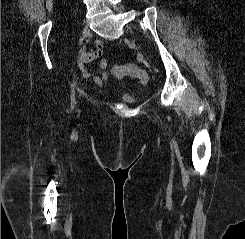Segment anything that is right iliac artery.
I'll use <instances>...</instances> for the list:
<instances>
[{"label":"right iliac artery","instance_id":"82829eb1","mask_svg":"<svg viewBox=\"0 0 245 239\" xmlns=\"http://www.w3.org/2000/svg\"><path fill=\"white\" fill-rule=\"evenodd\" d=\"M84 42V39L83 38H80L79 39V45H82ZM75 87H76V82L73 81V83L71 84V95H70V98H71V110L74 109L75 107V104H76V99H75Z\"/></svg>","mask_w":245,"mask_h":239}]
</instances>
